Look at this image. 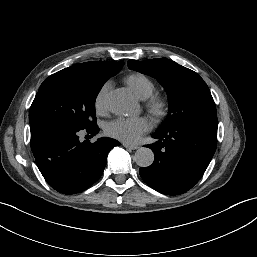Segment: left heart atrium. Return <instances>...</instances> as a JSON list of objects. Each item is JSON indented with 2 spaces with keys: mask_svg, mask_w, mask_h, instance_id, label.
Wrapping results in <instances>:
<instances>
[{
  "mask_svg": "<svg viewBox=\"0 0 257 257\" xmlns=\"http://www.w3.org/2000/svg\"><path fill=\"white\" fill-rule=\"evenodd\" d=\"M153 122L146 116L137 118H117L108 122L105 132L108 136L127 144L137 143L141 137L149 132Z\"/></svg>",
  "mask_w": 257,
  "mask_h": 257,
  "instance_id": "obj_1",
  "label": "left heart atrium"
}]
</instances>
